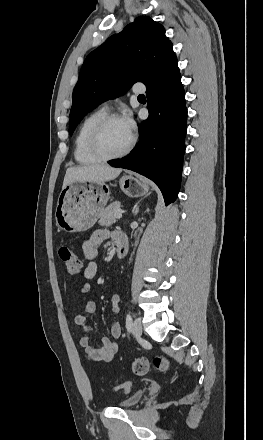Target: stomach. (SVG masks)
I'll use <instances>...</instances> for the list:
<instances>
[{"label":"stomach","mask_w":263,"mask_h":440,"mask_svg":"<svg viewBox=\"0 0 263 440\" xmlns=\"http://www.w3.org/2000/svg\"><path fill=\"white\" fill-rule=\"evenodd\" d=\"M121 190L130 197H140L149 192V185L131 175L119 180ZM110 193L104 183L72 182L63 187L57 201L55 219L57 226L68 233L91 228L101 216Z\"/></svg>","instance_id":"stomach-1"}]
</instances>
